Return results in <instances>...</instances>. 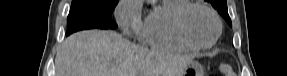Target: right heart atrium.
Returning a JSON list of instances; mask_svg holds the SVG:
<instances>
[{
  "instance_id": "obj_1",
  "label": "right heart atrium",
  "mask_w": 287,
  "mask_h": 76,
  "mask_svg": "<svg viewBox=\"0 0 287 76\" xmlns=\"http://www.w3.org/2000/svg\"><path fill=\"white\" fill-rule=\"evenodd\" d=\"M115 16L125 34L138 35L142 27L141 1L121 0L116 8Z\"/></svg>"
}]
</instances>
